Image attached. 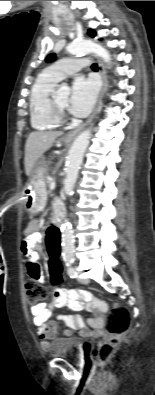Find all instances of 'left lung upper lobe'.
Listing matches in <instances>:
<instances>
[{"instance_id":"1","label":"left lung upper lobe","mask_w":155,"mask_h":395,"mask_svg":"<svg viewBox=\"0 0 155 395\" xmlns=\"http://www.w3.org/2000/svg\"><path fill=\"white\" fill-rule=\"evenodd\" d=\"M88 35L91 36V37H95V36H96V33H95L94 30L89 29ZM54 59H55V54H50V55L47 56L46 61H47V62H51V61H53Z\"/></svg>"}]
</instances>
